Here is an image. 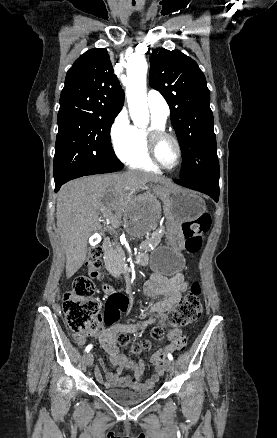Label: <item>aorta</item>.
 <instances>
[{
  "instance_id": "762f6f07",
  "label": "aorta",
  "mask_w": 277,
  "mask_h": 438,
  "mask_svg": "<svg viewBox=\"0 0 277 438\" xmlns=\"http://www.w3.org/2000/svg\"><path fill=\"white\" fill-rule=\"evenodd\" d=\"M147 62L142 55H131L127 61L126 94L130 116L138 127H145L149 120L146 101ZM159 217V204L153 197L139 201L129 212L127 237L139 239L151 231ZM123 237H125L123 235Z\"/></svg>"
}]
</instances>
